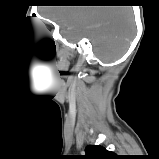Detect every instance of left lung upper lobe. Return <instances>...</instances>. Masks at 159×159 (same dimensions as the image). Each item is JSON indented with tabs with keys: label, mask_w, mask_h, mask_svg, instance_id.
<instances>
[{
	"label": "left lung upper lobe",
	"mask_w": 159,
	"mask_h": 159,
	"mask_svg": "<svg viewBox=\"0 0 159 159\" xmlns=\"http://www.w3.org/2000/svg\"><path fill=\"white\" fill-rule=\"evenodd\" d=\"M86 155L81 156L80 159H119L118 155L106 150L102 146L89 145L85 149Z\"/></svg>",
	"instance_id": "5c2ea615"
}]
</instances>
